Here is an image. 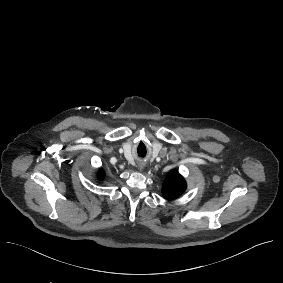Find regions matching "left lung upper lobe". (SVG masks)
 <instances>
[{
    "mask_svg": "<svg viewBox=\"0 0 283 283\" xmlns=\"http://www.w3.org/2000/svg\"><path fill=\"white\" fill-rule=\"evenodd\" d=\"M185 189L186 182L176 170L168 173L162 185V193L166 199H174L180 196Z\"/></svg>",
    "mask_w": 283,
    "mask_h": 283,
    "instance_id": "1",
    "label": "left lung upper lobe"
}]
</instances>
